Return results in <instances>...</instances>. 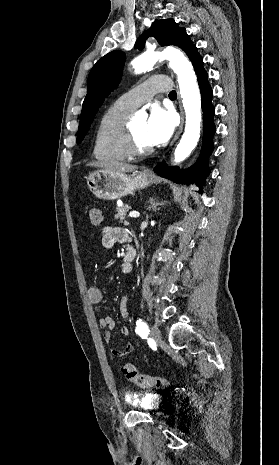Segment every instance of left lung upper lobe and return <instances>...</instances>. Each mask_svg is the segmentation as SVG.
<instances>
[{
	"label": "left lung upper lobe",
	"instance_id": "1",
	"mask_svg": "<svg viewBox=\"0 0 279 465\" xmlns=\"http://www.w3.org/2000/svg\"><path fill=\"white\" fill-rule=\"evenodd\" d=\"M149 36L155 37L161 46L180 47L188 55L192 64L200 57L197 47L190 40L185 28L179 27L173 19L155 20L151 28L138 38L135 47L143 49ZM124 60L122 51H112L99 59L92 68L87 80L88 92L82 106L77 143L83 140L105 97L117 88Z\"/></svg>",
	"mask_w": 279,
	"mask_h": 465
}]
</instances>
